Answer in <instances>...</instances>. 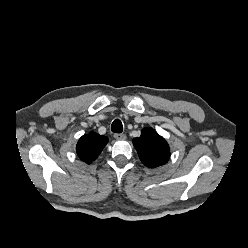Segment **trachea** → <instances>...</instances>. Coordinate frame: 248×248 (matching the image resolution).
Returning a JSON list of instances; mask_svg holds the SVG:
<instances>
[{
  "mask_svg": "<svg viewBox=\"0 0 248 248\" xmlns=\"http://www.w3.org/2000/svg\"><path fill=\"white\" fill-rule=\"evenodd\" d=\"M111 130L114 133H121L123 131L122 122L119 119L114 120L111 125Z\"/></svg>",
  "mask_w": 248,
  "mask_h": 248,
  "instance_id": "trachea-1",
  "label": "trachea"
}]
</instances>
